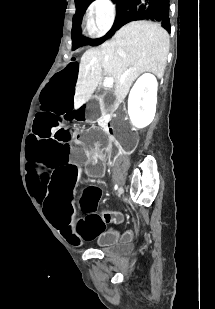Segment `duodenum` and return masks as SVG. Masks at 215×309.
Masks as SVG:
<instances>
[{
    "mask_svg": "<svg viewBox=\"0 0 215 309\" xmlns=\"http://www.w3.org/2000/svg\"><path fill=\"white\" fill-rule=\"evenodd\" d=\"M103 126H104V128L106 129V131H107V133H108L109 136L113 135L114 129H113V125H112L111 122H109V121H104V122H103Z\"/></svg>",
    "mask_w": 215,
    "mask_h": 309,
    "instance_id": "obj_1",
    "label": "duodenum"
}]
</instances>
